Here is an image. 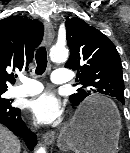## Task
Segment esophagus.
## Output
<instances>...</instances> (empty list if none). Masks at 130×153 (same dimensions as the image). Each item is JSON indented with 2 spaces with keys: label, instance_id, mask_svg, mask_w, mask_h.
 Returning <instances> with one entry per match:
<instances>
[{
  "label": "esophagus",
  "instance_id": "34e87169",
  "mask_svg": "<svg viewBox=\"0 0 130 153\" xmlns=\"http://www.w3.org/2000/svg\"><path fill=\"white\" fill-rule=\"evenodd\" d=\"M44 27H45V44L47 46H50L53 42L54 39V28L51 22L45 21L44 22ZM55 140V132L54 131H49L44 134L43 136V141L44 143L49 146L51 145Z\"/></svg>",
  "mask_w": 130,
  "mask_h": 153
}]
</instances>
